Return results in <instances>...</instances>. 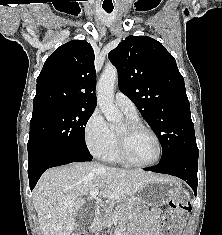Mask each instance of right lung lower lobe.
Wrapping results in <instances>:
<instances>
[{
  "mask_svg": "<svg viewBox=\"0 0 222 235\" xmlns=\"http://www.w3.org/2000/svg\"><path fill=\"white\" fill-rule=\"evenodd\" d=\"M91 155H79V154H69V153H59L47 156L36 164L28 166V176L30 189L32 190L42 173L48 168L69 164L72 162H84L91 161Z\"/></svg>",
  "mask_w": 222,
  "mask_h": 235,
  "instance_id": "98d812e1",
  "label": "right lung lower lobe"
}]
</instances>
